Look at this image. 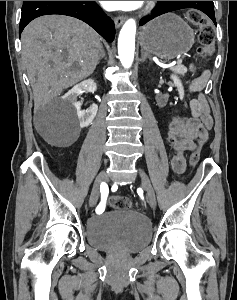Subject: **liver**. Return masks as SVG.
Masks as SVG:
<instances>
[{"label":"liver","mask_w":237,"mask_h":300,"mask_svg":"<svg viewBox=\"0 0 237 300\" xmlns=\"http://www.w3.org/2000/svg\"><path fill=\"white\" fill-rule=\"evenodd\" d=\"M100 41L89 25L64 15L38 17L25 27L22 59L35 107L94 73Z\"/></svg>","instance_id":"liver-1"}]
</instances>
